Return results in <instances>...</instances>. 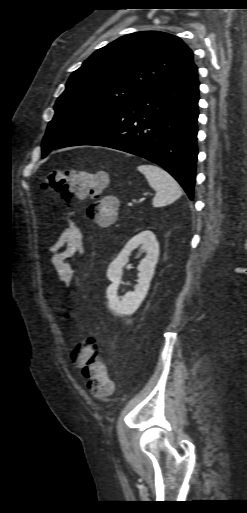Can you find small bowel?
<instances>
[{
    "label": "small bowel",
    "instance_id": "small-bowel-1",
    "mask_svg": "<svg viewBox=\"0 0 247 513\" xmlns=\"http://www.w3.org/2000/svg\"><path fill=\"white\" fill-rule=\"evenodd\" d=\"M47 250L51 253V264L59 282L63 285L70 284L73 272L68 260L76 255H82L84 251L82 232L77 224L68 221V226L47 246ZM72 362L74 364V361Z\"/></svg>",
    "mask_w": 247,
    "mask_h": 513
}]
</instances>
